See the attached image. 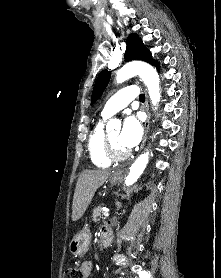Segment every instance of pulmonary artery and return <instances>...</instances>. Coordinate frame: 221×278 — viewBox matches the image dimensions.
Segmentation results:
<instances>
[{
  "label": "pulmonary artery",
  "mask_w": 221,
  "mask_h": 278,
  "mask_svg": "<svg viewBox=\"0 0 221 278\" xmlns=\"http://www.w3.org/2000/svg\"><path fill=\"white\" fill-rule=\"evenodd\" d=\"M138 96V89L134 85L127 86L119 90L104 105L102 115L106 118L117 113L126 107L134 98Z\"/></svg>",
  "instance_id": "obj_1"
}]
</instances>
